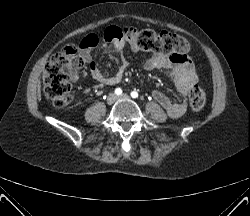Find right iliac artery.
<instances>
[{"label":"right iliac artery","instance_id":"82829eb1","mask_svg":"<svg viewBox=\"0 0 250 216\" xmlns=\"http://www.w3.org/2000/svg\"><path fill=\"white\" fill-rule=\"evenodd\" d=\"M115 94L121 95L122 94V90L120 88L115 89Z\"/></svg>","mask_w":250,"mask_h":216}]
</instances>
